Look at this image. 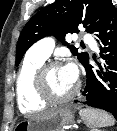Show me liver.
<instances>
[{"label": "liver", "instance_id": "6515ba94", "mask_svg": "<svg viewBox=\"0 0 117 131\" xmlns=\"http://www.w3.org/2000/svg\"><path fill=\"white\" fill-rule=\"evenodd\" d=\"M53 111H54V109H53V110L46 111V112H42V113H40V114L34 115L32 118H39V117L45 116V115H47V114H49V113H51V112H53Z\"/></svg>", "mask_w": 117, "mask_h": 131}]
</instances>
